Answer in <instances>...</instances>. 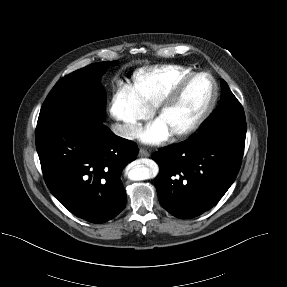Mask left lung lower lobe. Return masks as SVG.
Masks as SVG:
<instances>
[{
  "instance_id": "obj_1",
  "label": "left lung lower lobe",
  "mask_w": 287,
  "mask_h": 287,
  "mask_svg": "<svg viewBox=\"0 0 287 287\" xmlns=\"http://www.w3.org/2000/svg\"><path fill=\"white\" fill-rule=\"evenodd\" d=\"M244 143L198 136L152 156L160 172L155 186L161 206L177 218L196 217L215 206L234 182Z\"/></svg>"
}]
</instances>
